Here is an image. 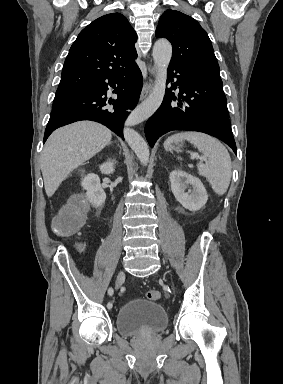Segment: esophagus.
Masks as SVG:
<instances>
[{
	"mask_svg": "<svg viewBox=\"0 0 283 384\" xmlns=\"http://www.w3.org/2000/svg\"><path fill=\"white\" fill-rule=\"evenodd\" d=\"M150 74L153 76V77H156V74H157V68L156 66H152V67H149L148 68ZM154 85V82L153 81H148V82H145L143 88H142V92H141V95H140V100H143L145 99V97H147V95L150 93V91L152 90V87Z\"/></svg>",
	"mask_w": 283,
	"mask_h": 384,
	"instance_id": "obj_1",
	"label": "esophagus"
}]
</instances>
